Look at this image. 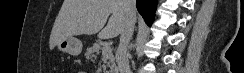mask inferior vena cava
<instances>
[{
    "instance_id": "obj_1",
    "label": "inferior vena cava",
    "mask_w": 244,
    "mask_h": 73,
    "mask_svg": "<svg viewBox=\"0 0 244 73\" xmlns=\"http://www.w3.org/2000/svg\"><path fill=\"white\" fill-rule=\"evenodd\" d=\"M121 6L125 15L126 23L120 35V42L116 51V61L120 73H131L127 47L132 37L136 21L135 0H121Z\"/></svg>"
}]
</instances>
